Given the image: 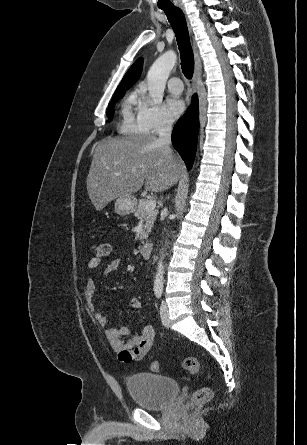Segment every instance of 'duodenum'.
<instances>
[{
  "label": "duodenum",
  "instance_id": "1",
  "mask_svg": "<svg viewBox=\"0 0 307 445\" xmlns=\"http://www.w3.org/2000/svg\"><path fill=\"white\" fill-rule=\"evenodd\" d=\"M153 250L151 243H144L140 246L139 252L144 258H149Z\"/></svg>",
  "mask_w": 307,
  "mask_h": 445
}]
</instances>
